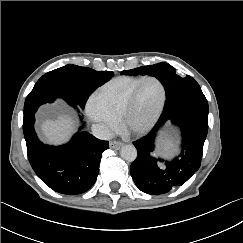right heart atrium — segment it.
Instances as JSON below:
<instances>
[{
	"instance_id": "1",
	"label": "right heart atrium",
	"mask_w": 243,
	"mask_h": 243,
	"mask_svg": "<svg viewBox=\"0 0 243 243\" xmlns=\"http://www.w3.org/2000/svg\"><path fill=\"white\" fill-rule=\"evenodd\" d=\"M86 115L90 121L100 127L105 135L112 133L118 126L117 119L99 106L93 96L87 103Z\"/></svg>"
}]
</instances>
